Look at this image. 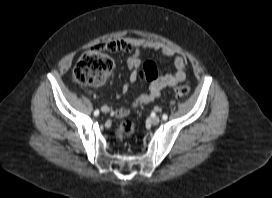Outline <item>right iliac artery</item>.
<instances>
[{"label":"right iliac artery","instance_id":"82829eb1","mask_svg":"<svg viewBox=\"0 0 272 198\" xmlns=\"http://www.w3.org/2000/svg\"><path fill=\"white\" fill-rule=\"evenodd\" d=\"M94 115H95V116H98V115H99V110H96V111L94 112Z\"/></svg>","mask_w":272,"mask_h":198}]
</instances>
